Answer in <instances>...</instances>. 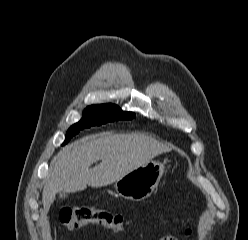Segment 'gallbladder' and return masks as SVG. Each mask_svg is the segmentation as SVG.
<instances>
[{"instance_id":"obj_1","label":"gallbladder","mask_w":248,"mask_h":240,"mask_svg":"<svg viewBox=\"0 0 248 240\" xmlns=\"http://www.w3.org/2000/svg\"><path fill=\"white\" fill-rule=\"evenodd\" d=\"M58 196L60 199H65L68 196V194L66 192H59Z\"/></svg>"}]
</instances>
